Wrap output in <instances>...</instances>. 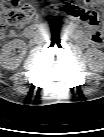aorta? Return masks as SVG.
<instances>
[{
	"instance_id": "1",
	"label": "aorta",
	"mask_w": 104,
	"mask_h": 137,
	"mask_svg": "<svg viewBox=\"0 0 104 137\" xmlns=\"http://www.w3.org/2000/svg\"><path fill=\"white\" fill-rule=\"evenodd\" d=\"M64 36H65V32H64V31H61V32H60V37L63 38Z\"/></svg>"
}]
</instances>
